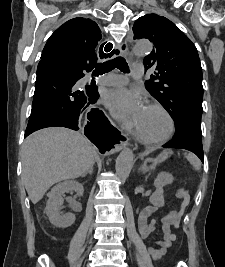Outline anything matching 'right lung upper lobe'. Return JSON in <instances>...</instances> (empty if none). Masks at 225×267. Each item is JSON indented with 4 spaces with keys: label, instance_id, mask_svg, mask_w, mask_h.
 Wrapping results in <instances>:
<instances>
[{
    "label": "right lung upper lobe",
    "instance_id": "cb5924a9",
    "mask_svg": "<svg viewBox=\"0 0 225 267\" xmlns=\"http://www.w3.org/2000/svg\"><path fill=\"white\" fill-rule=\"evenodd\" d=\"M101 31L91 19L74 18L61 25L48 39L41 58L54 57L91 71L101 56Z\"/></svg>",
    "mask_w": 225,
    "mask_h": 267
}]
</instances>
